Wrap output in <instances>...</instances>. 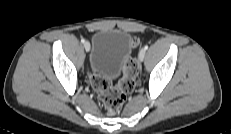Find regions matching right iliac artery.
<instances>
[{"label":"right iliac artery","mask_w":231,"mask_h":134,"mask_svg":"<svg viewBox=\"0 0 231 134\" xmlns=\"http://www.w3.org/2000/svg\"><path fill=\"white\" fill-rule=\"evenodd\" d=\"M81 42H82V43H84V42H85V40L82 38V39H81Z\"/></svg>","instance_id":"right-iliac-artery-1"}]
</instances>
